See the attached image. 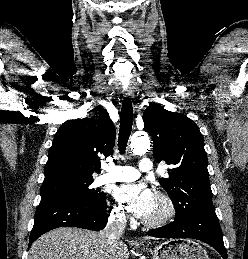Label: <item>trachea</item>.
Segmentation results:
<instances>
[{
    "label": "trachea",
    "mask_w": 248,
    "mask_h": 259,
    "mask_svg": "<svg viewBox=\"0 0 248 259\" xmlns=\"http://www.w3.org/2000/svg\"><path fill=\"white\" fill-rule=\"evenodd\" d=\"M133 124V108L130 99L127 97L122 102L121 119L118 147L121 154L125 153L128 139L131 133Z\"/></svg>",
    "instance_id": "3493384b"
}]
</instances>
